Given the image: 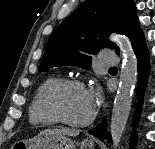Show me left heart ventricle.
<instances>
[{"mask_svg":"<svg viewBox=\"0 0 155 149\" xmlns=\"http://www.w3.org/2000/svg\"><path fill=\"white\" fill-rule=\"evenodd\" d=\"M59 103L66 117L74 121L85 120L93 112L88 93L82 88L70 87L65 89L60 94Z\"/></svg>","mask_w":155,"mask_h":149,"instance_id":"1","label":"left heart ventricle"}]
</instances>
